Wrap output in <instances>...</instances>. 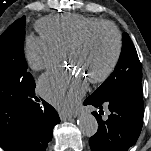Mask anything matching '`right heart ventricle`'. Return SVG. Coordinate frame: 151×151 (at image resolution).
I'll use <instances>...</instances> for the list:
<instances>
[{
	"label": "right heart ventricle",
	"mask_w": 151,
	"mask_h": 151,
	"mask_svg": "<svg viewBox=\"0 0 151 151\" xmlns=\"http://www.w3.org/2000/svg\"><path fill=\"white\" fill-rule=\"evenodd\" d=\"M99 22L103 20L78 14H62L41 19L37 23V29L43 38L64 52L69 43L88 27Z\"/></svg>",
	"instance_id": "1"
}]
</instances>
